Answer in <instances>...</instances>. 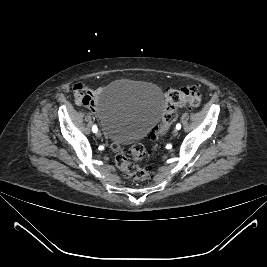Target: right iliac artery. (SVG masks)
<instances>
[{
    "instance_id": "obj_1",
    "label": "right iliac artery",
    "mask_w": 267,
    "mask_h": 267,
    "mask_svg": "<svg viewBox=\"0 0 267 267\" xmlns=\"http://www.w3.org/2000/svg\"><path fill=\"white\" fill-rule=\"evenodd\" d=\"M92 131H93L94 133L97 132V126H96V125H94V126L92 127Z\"/></svg>"
}]
</instances>
